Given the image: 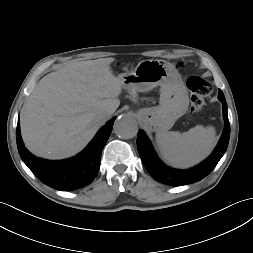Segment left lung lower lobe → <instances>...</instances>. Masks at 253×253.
<instances>
[{
    "label": "left lung lower lobe",
    "instance_id": "0a47b994",
    "mask_svg": "<svg viewBox=\"0 0 253 253\" xmlns=\"http://www.w3.org/2000/svg\"><path fill=\"white\" fill-rule=\"evenodd\" d=\"M218 98L222 102L223 116L225 119V127L220 141L214 152L201 164L188 169L176 170L163 164L155 154L146 134L140 130L137 136V148L141 160L150 175L158 182L166 185L181 186L200 181L207 176L217 165L224 155L230 137V124L227 114V104L224 94L218 91Z\"/></svg>",
    "mask_w": 253,
    "mask_h": 253
}]
</instances>
